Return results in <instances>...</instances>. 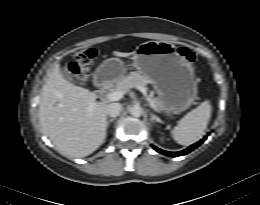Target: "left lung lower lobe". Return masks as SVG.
Masks as SVG:
<instances>
[{
  "mask_svg": "<svg viewBox=\"0 0 260 205\" xmlns=\"http://www.w3.org/2000/svg\"><path fill=\"white\" fill-rule=\"evenodd\" d=\"M205 139H206V137H204V138H203L202 140H200L199 142H197V143L191 145V146L188 147L187 149H185V150H183V151H179V152H168V151L161 150V149H159V148H157V147H155V146H153V148H154L156 151H158V152H160V153H162V154H164V155H166V156L177 157V156H182V155H185V154L191 152L192 150H194L195 148H197L200 144H202Z\"/></svg>",
  "mask_w": 260,
  "mask_h": 205,
  "instance_id": "left-lung-lower-lobe-1",
  "label": "left lung lower lobe"
}]
</instances>
